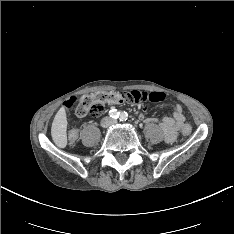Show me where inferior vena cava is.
<instances>
[{
  "mask_svg": "<svg viewBox=\"0 0 234 234\" xmlns=\"http://www.w3.org/2000/svg\"><path fill=\"white\" fill-rule=\"evenodd\" d=\"M116 123V121L114 120V119H112V118H109V117H106V118H104L103 120H102V126L103 127H109V126H111V125H113V124H115Z\"/></svg>",
  "mask_w": 234,
  "mask_h": 234,
  "instance_id": "1",
  "label": "inferior vena cava"
}]
</instances>
